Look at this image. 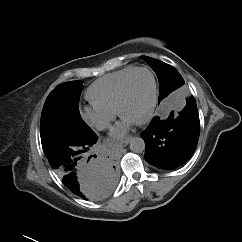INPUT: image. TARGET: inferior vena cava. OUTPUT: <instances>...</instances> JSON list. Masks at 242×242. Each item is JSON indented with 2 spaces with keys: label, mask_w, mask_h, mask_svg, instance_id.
<instances>
[{
  "label": "inferior vena cava",
  "mask_w": 242,
  "mask_h": 242,
  "mask_svg": "<svg viewBox=\"0 0 242 242\" xmlns=\"http://www.w3.org/2000/svg\"><path fill=\"white\" fill-rule=\"evenodd\" d=\"M109 126V124H107V123H104V124H102V125H100V129H105V128H107Z\"/></svg>",
  "instance_id": "602c4592"
}]
</instances>
